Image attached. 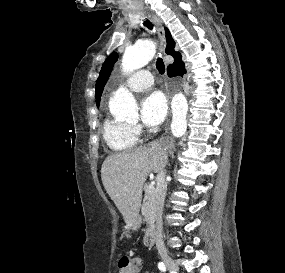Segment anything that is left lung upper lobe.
I'll list each match as a JSON object with an SVG mask.
<instances>
[{"label": "left lung upper lobe", "instance_id": "left-lung-upper-lobe-1", "mask_svg": "<svg viewBox=\"0 0 285 273\" xmlns=\"http://www.w3.org/2000/svg\"><path fill=\"white\" fill-rule=\"evenodd\" d=\"M117 54L116 53H113L111 54L107 59L106 61L104 62L102 68H101V71H100V75H99V78L96 82V93H95V96H96V104L97 106L99 105V102H100V98H101V93L103 91V88L110 76V73L112 71V68H113V65L114 63L117 61Z\"/></svg>", "mask_w": 285, "mask_h": 273}]
</instances>
